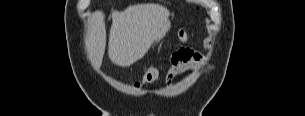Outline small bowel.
I'll return each mask as SVG.
<instances>
[{
  "mask_svg": "<svg viewBox=\"0 0 305 116\" xmlns=\"http://www.w3.org/2000/svg\"><path fill=\"white\" fill-rule=\"evenodd\" d=\"M202 58L203 57L200 53L190 49H184L183 56L174 54L172 57V66L165 76V85L167 87H171L174 79L178 75L188 70L196 69L200 65Z\"/></svg>",
  "mask_w": 305,
  "mask_h": 116,
  "instance_id": "c3829d8e",
  "label": "small bowel"
}]
</instances>
